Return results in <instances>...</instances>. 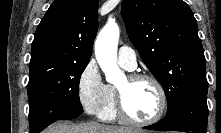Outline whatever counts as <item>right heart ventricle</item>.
Masks as SVG:
<instances>
[{"label": "right heart ventricle", "instance_id": "obj_1", "mask_svg": "<svg viewBox=\"0 0 221 133\" xmlns=\"http://www.w3.org/2000/svg\"><path fill=\"white\" fill-rule=\"evenodd\" d=\"M98 117L106 122H113L117 120L118 115L116 111V88L113 85H107V99L98 114Z\"/></svg>", "mask_w": 221, "mask_h": 133}]
</instances>
